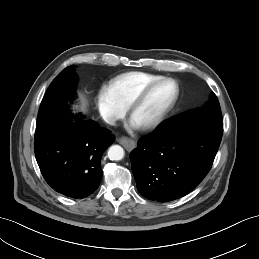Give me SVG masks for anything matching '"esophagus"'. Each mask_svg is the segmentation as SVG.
I'll list each match as a JSON object with an SVG mask.
<instances>
[{"label":"esophagus","mask_w":259,"mask_h":259,"mask_svg":"<svg viewBox=\"0 0 259 259\" xmlns=\"http://www.w3.org/2000/svg\"><path fill=\"white\" fill-rule=\"evenodd\" d=\"M117 141L123 145L128 151H131L135 148L136 143L132 139L128 137H120L117 139Z\"/></svg>","instance_id":"1"}]
</instances>
